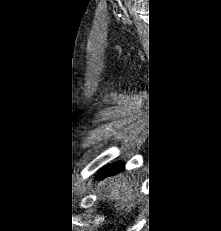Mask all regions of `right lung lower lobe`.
<instances>
[{
	"instance_id": "1",
	"label": "right lung lower lobe",
	"mask_w": 221,
	"mask_h": 231,
	"mask_svg": "<svg viewBox=\"0 0 221 231\" xmlns=\"http://www.w3.org/2000/svg\"><path fill=\"white\" fill-rule=\"evenodd\" d=\"M124 165L121 162L114 163L106 168H103L97 175L98 180H102L105 177L116 175L119 172H122Z\"/></svg>"
}]
</instances>
